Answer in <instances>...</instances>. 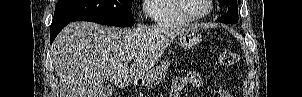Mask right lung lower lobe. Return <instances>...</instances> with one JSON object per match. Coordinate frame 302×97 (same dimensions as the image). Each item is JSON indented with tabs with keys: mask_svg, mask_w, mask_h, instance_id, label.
<instances>
[{
	"mask_svg": "<svg viewBox=\"0 0 302 97\" xmlns=\"http://www.w3.org/2000/svg\"><path fill=\"white\" fill-rule=\"evenodd\" d=\"M70 22L55 26V27H51L50 28V41L51 43L54 41L55 37L57 36V34Z\"/></svg>",
	"mask_w": 302,
	"mask_h": 97,
	"instance_id": "1",
	"label": "right lung lower lobe"
}]
</instances>
